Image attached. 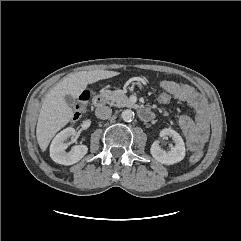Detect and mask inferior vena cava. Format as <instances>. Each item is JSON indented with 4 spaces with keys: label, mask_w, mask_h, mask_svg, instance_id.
Wrapping results in <instances>:
<instances>
[{
    "label": "inferior vena cava",
    "mask_w": 241,
    "mask_h": 241,
    "mask_svg": "<svg viewBox=\"0 0 241 241\" xmlns=\"http://www.w3.org/2000/svg\"><path fill=\"white\" fill-rule=\"evenodd\" d=\"M95 114L100 119H108L112 114V109L108 106H101L96 109Z\"/></svg>",
    "instance_id": "1"
}]
</instances>
